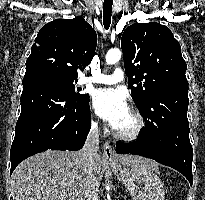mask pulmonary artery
<instances>
[{"instance_id":"pulmonary-artery-1","label":"pulmonary artery","mask_w":205,"mask_h":200,"mask_svg":"<svg viewBox=\"0 0 205 200\" xmlns=\"http://www.w3.org/2000/svg\"><path fill=\"white\" fill-rule=\"evenodd\" d=\"M124 79V72L117 68L111 75L94 73L90 77L83 78L82 83H97V84H116L121 82Z\"/></svg>"}]
</instances>
